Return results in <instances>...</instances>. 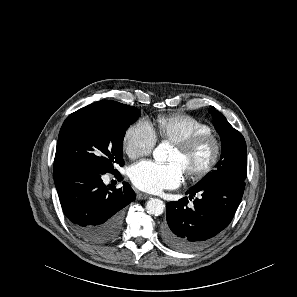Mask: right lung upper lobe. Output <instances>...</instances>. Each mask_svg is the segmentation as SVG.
I'll return each mask as SVG.
<instances>
[{"label": "right lung upper lobe", "mask_w": 297, "mask_h": 297, "mask_svg": "<svg viewBox=\"0 0 297 297\" xmlns=\"http://www.w3.org/2000/svg\"><path fill=\"white\" fill-rule=\"evenodd\" d=\"M117 102L111 100H102L84 107V109H97L103 111H113L116 109Z\"/></svg>", "instance_id": "right-lung-upper-lobe-1"}]
</instances>
